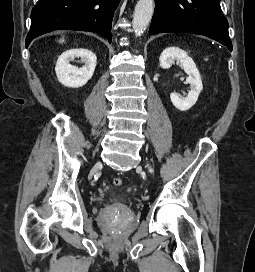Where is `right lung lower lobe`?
<instances>
[{
	"label": "right lung lower lobe",
	"instance_id": "right-lung-lower-lobe-1",
	"mask_svg": "<svg viewBox=\"0 0 255 272\" xmlns=\"http://www.w3.org/2000/svg\"><path fill=\"white\" fill-rule=\"evenodd\" d=\"M120 0H39L31 12L30 42L54 30L70 29L99 33L111 43V23Z\"/></svg>",
	"mask_w": 255,
	"mask_h": 272
}]
</instances>
